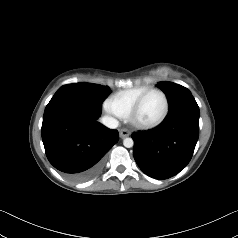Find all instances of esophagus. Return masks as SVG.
<instances>
[{"instance_id":"1","label":"esophagus","mask_w":238,"mask_h":238,"mask_svg":"<svg viewBox=\"0 0 238 238\" xmlns=\"http://www.w3.org/2000/svg\"><path fill=\"white\" fill-rule=\"evenodd\" d=\"M119 135L121 138L128 137L130 135V131H128L127 129H121L119 131Z\"/></svg>"}]
</instances>
